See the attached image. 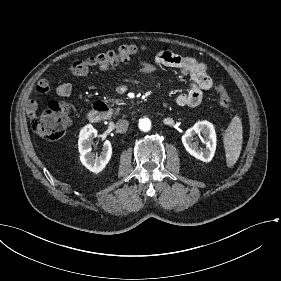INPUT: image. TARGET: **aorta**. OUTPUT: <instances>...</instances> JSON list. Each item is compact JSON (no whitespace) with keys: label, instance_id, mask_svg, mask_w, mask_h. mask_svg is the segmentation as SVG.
<instances>
[{"label":"aorta","instance_id":"aorta-1","mask_svg":"<svg viewBox=\"0 0 281 281\" xmlns=\"http://www.w3.org/2000/svg\"><path fill=\"white\" fill-rule=\"evenodd\" d=\"M150 127V121L147 119H144L140 122V128L144 131L148 130Z\"/></svg>","mask_w":281,"mask_h":281}]
</instances>
